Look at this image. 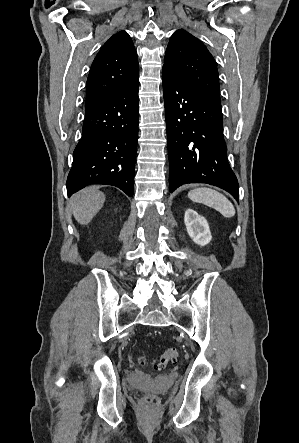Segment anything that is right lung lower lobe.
I'll list each match as a JSON object with an SVG mask.
<instances>
[{"instance_id":"obj_1","label":"right lung lower lobe","mask_w":299,"mask_h":443,"mask_svg":"<svg viewBox=\"0 0 299 443\" xmlns=\"http://www.w3.org/2000/svg\"><path fill=\"white\" fill-rule=\"evenodd\" d=\"M139 80L85 110L82 137L73 154L66 186L72 193L107 184L133 195L138 137Z\"/></svg>"}]
</instances>
